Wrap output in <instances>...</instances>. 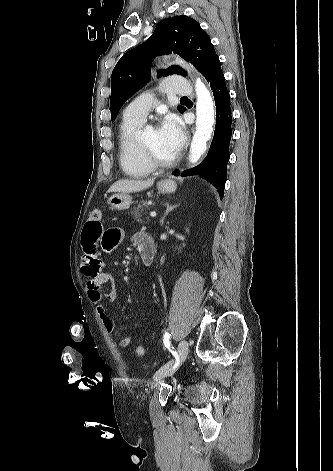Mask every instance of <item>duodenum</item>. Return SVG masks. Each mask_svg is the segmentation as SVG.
Wrapping results in <instances>:
<instances>
[{
    "label": "duodenum",
    "instance_id": "410a0bca",
    "mask_svg": "<svg viewBox=\"0 0 333 471\" xmlns=\"http://www.w3.org/2000/svg\"><path fill=\"white\" fill-rule=\"evenodd\" d=\"M139 252L142 264L144 266L151 265L155 255L153 240L151 238L144 239L139 245Z\"/></svg>",
    "mask_w": 333,
    "mask_h": 471
}]
</instances>
